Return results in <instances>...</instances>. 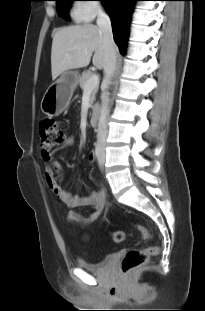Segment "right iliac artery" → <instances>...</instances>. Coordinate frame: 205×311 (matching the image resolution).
<instances>
[{
	"label": "right iliac artery",
	"instance_id": "right-iliac-artery-1",
	"mask_svg": "<svg viewBox=\"0 0 205 311\" xmlns=\"http://www.w3.org/2000/svg\"><path fill=\"white\" fill-rule=\"evenodd\" d=\"M100 151H101L100 145L97 143V144L95 145V155H96L97 158H98L99 155H100Z\"/></svg>",
	"mask_w": 205,
	"mask_h": 311
}]
</instances>
